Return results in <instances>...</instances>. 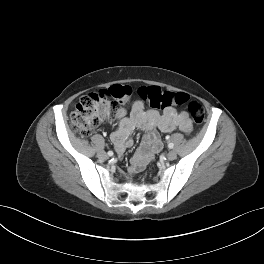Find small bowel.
Wrapping results in <instances>:
<instances>
[{"mask_svg": "<svg viewBox=\"0 0 264 264\" xmlns=\"http://www.w3.org/2000/svg\"><path fill=\"white\" fill-rule=\"evenodd\" d=\"M118 128L112 133V141L116 151L122 155L133 145L130 139L132 132L138 128L147 132L139 148L131 158L129 172L135 174L143 169L162 149V141L158 132H171L176 129L190 134L193 124L183 111L167 108L162 113L155 110H145L141 101H135L129 114L123 107L117 111Z\"/></svg>", "mask_w": 264, "mask_h": 264, "instance_id": "c3829d8e", "label": "small bowel"}]
</instances>
